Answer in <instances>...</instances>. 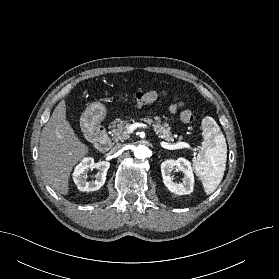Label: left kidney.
Returning <instances> with one entry per match:
<instances>
[{"label": "left kidney", "mask_w": 279, "mask_h": 279, "mask_svg": "<svg viewBox=\"0 0 279 279\" xmlns=\"http://www.w3.org/2000/svg\"><path fill=\"white\" fill-rule=\"evenodd\" d=\"M177 168L183 173L182 182L175 183L171 177V172ZM161 173L163 183L168 190L176 195H187L193 192L194 188V174L191 163L185 158H178L177 160H166L161 164Z\"/></svg>", "instance_id": "1"}]
</instances>
